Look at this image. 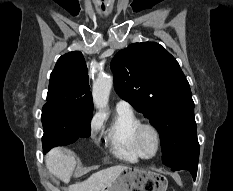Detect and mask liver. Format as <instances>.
Segmentation results:
<instances>
[{
    "label": "liver",
    "instance_id": "6515ba94",
    "mask_svg": "<svg viewBox=\"0 0 233 191\" xmlns=\"http://www.w3.org/2000/svg\"><path fill=\"white\" fill-rule=\"evenodd\" d=\"M48 171L64 183H68L76 166V156L62 148H56L45 158ZM127 166L117 165L92 174L87 180L70 185L68 191H102L126 169Z\"/></svg>",
    "mask_w": 233,
    "mask_h": 191
}]
</instances>
